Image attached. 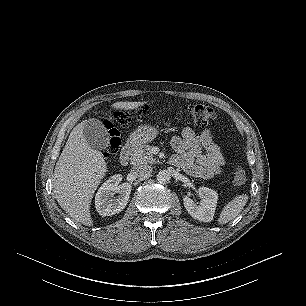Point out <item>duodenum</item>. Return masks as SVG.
<instances>
[{
    "label": "duodenum",
    "mask_w": 306,
    "mask_h": 306,
    "mask_svg": "<svg viewBox=\"0 0 306 306\" xmlns=\"http://www.w3.org/2000/svg\"><path fill=\"white\" fill-rule=\"evenodd\" d=\"M134 146H135L134 142L128 141L122 147V150L119 156V162L121 166L123 167L127 166L130 156L134 150Z\"/></svg>",
    "instance_id": "obj_1"
}]
</instances>
